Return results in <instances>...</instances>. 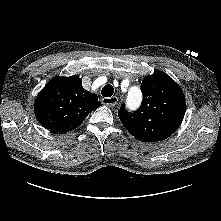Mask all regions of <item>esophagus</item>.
I'll list each match as a JSON object with an SVG mask.
<instances>
[{
	"mask_svg": "<svg viewBox=\"0 0 221 221\" xmlns=\"http://www.w3.org/2000/svg\"><path fill=\"white\" fill-rule=\"evenodd\" d=\"M117 102H118V98L116 96L102 98V103L108 107L115 106Z\"/></svg>",
	"mask_w": 221,
	"mask_h": 221,
	"instance_id": "34e87169",
	"label": "esophagus"
}]
</instances>
